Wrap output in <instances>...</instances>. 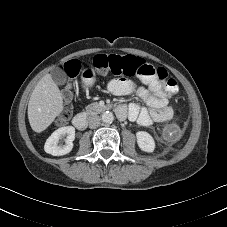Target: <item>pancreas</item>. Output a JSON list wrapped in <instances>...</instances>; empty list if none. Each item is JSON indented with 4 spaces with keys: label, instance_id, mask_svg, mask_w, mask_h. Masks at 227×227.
Listing matches in <instances>:
<instances>
[{
    "label": "pancreas",
    "instance_id": "1",
    "mask_svg": "<svg viewBox=\"0 0 227 227\" xmlns=\"http://www.w3.org/2000/svg\"><path fill=\"white\" fill-rule=\"evenodd\" d=\"M101 110H102V106L97 102H94L86 107V112L88 114H96Z\"/></svg>",
    "mask_w": 227,
    "mask_h": 227
}]
</instances>
